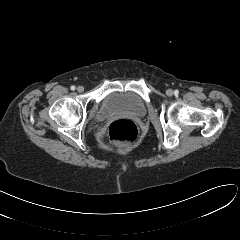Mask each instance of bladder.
<instances>
[{"mask_svg": "<svg viewBox=\"0 0 240 240\" xmlns=\"http://www.w3.org/2000/svg\"><path fill=\"white\" fill-rule=\"evenodd\" d=\"M147 113L144 100L134 92H113L104 97L97 117L102 120L126 115L142 118Z\"/></svg>", "mask_w": 240, "mask_h": 240, "instance_id": "obj_1", "label": "bladder"}]
</instances>
